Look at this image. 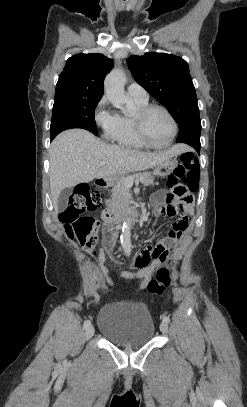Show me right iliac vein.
Wrapping results in <instances>:
<instances>
[{
  "label": "right iliac vein",
  "mask_w": 247,
  "mask_h": 407,
  "mask_svg": "<svg viewBox=\"0 0 247 407\" xmlns=\"http://www.w3.org/2000/svg\"><path fill=\"white\" fill-rule=\"evenodd\" d=\"M95 329L92 325H90L86 330V339H90L94 335Z\"/></svg>",
  "instance_id": "obj_1"
}]
</instances>
